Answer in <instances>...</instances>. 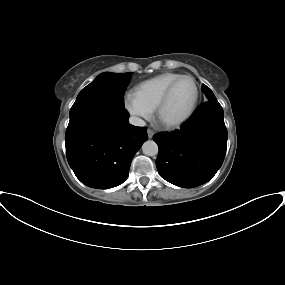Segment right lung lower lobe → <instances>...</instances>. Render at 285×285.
Listing matches in <instances>:
<instances>
[{
  "instance_id": "1",
  "label": "right lung lower lobe",
  "mask_w": 285,
  "mask_h": 285,
  "mask_svg": "<svg viewBox=\"0 0 285 285\" xmlns=\"http://www.w3.org/2000/svg\"><path fill=\"white\" fill-rule=\"evenodd\" d=\"M125 108L90 105L74 116L66 130L67 160L85 185L109 189L123 183L131 161L148 139L147 128L128 122Z\"/></svg>"
}]
</instances>
